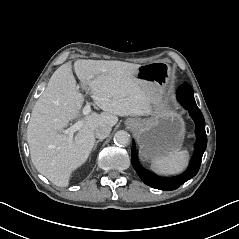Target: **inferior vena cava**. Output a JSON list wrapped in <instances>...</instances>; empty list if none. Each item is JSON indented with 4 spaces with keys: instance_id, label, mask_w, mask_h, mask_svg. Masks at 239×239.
<instances>
[{
    "instance_id": "inferior-vena-cava-1",
    "label": "inferior vena cava",
    "mask_w": 239,
    "mask_h": 239,
    "mask_svg": "<svg viewBox=\"0 0 239 239\" xmlns=\"http://www.w3.org/2000/svg\"><path fill=\"white\" fill-rule=\"evenodd\" d=\"M111 132V127L107 125H101L95 129V137L98 139H105Z\"/></svg>"
}]
</instances>
